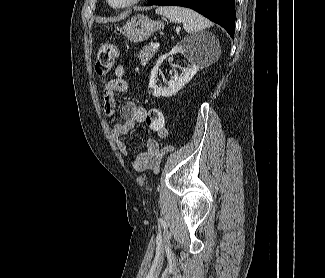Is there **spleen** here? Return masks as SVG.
<instances>
[{"instance_id":"spleen-1","label":"spleen","mask_w":325,"mask_h":278,"mask_svg":"<svg viewBox=\"0 0 325 278\" xmlns=\"http://www.w3.org/2000/svg\"><path fill=\"white\" fill-rule=\"evenodd\" d=\"M155 12L157 14L165 16L171 22H182L185 31L190 34L200 32L203 29L212 26L211 21L198 14L197 12L184 7H157Z\"/></svg>"}]
</instances>
